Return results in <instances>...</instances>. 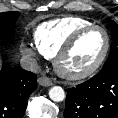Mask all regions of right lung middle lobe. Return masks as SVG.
<instances>
[{
    "label": "right lung middle lobe",
    "instance_id": "obj_1",
    "mask_svg": "<svg viewBox=\"0 0 118 118\" xmlns=\"http://www.w3.org/2000/svg\"><path fill=\"white\" fill-rule=\"evenodd\" d=\"M19 12L0 13V38L10 39L15 32V23Z\"/></svg>",
    "mask_w": 118,
    "mask_h": 118
}]
</instances>
